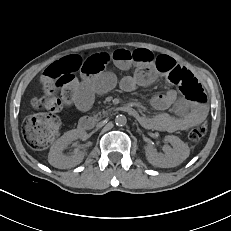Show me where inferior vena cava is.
Instances as JSON below:
<instances>
[{"label": "inferior vena cava", "mask_w": 231, "mask_h": 231, "mask_svg": "<svg viewBox=\"0 0 231 231\" xmlns=\"http://www.w3.org/2000/svg\"><path fill=\"white\" fill-rule=\"evenodd\" d=\"M108 119L105 117L103 119H100L96 122V126L99 128L102 124H104Z\"/></svg>", "instance_id": "1"}]
</instances>
